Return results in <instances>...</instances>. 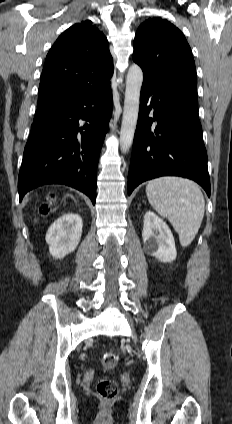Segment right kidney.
Instances as JSON below:
<instances>
[{
    "label": "right kidney",
    "mask_w": 232,
    "mask_h": 424,
    "mask_svg": "<svg viewBox=\"0 0 232 424\" xmlns=\"http://www.w3.org/2000/svg\"><path fill=\"white\" fill-rule=\"evenodd\" d=\"M82 226V218L76 213L65 214L50 226L46 242L53 258L61 259L76 249L81 238Z\"/></svg>",
    "instance_id": "1"
}]
</instances>
